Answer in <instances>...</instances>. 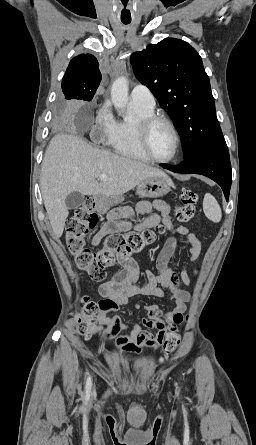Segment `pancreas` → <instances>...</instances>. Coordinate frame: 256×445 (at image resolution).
I'll return each instance as SVG.
<instances>
[{"label": "pancreas", "instance_id": "pancreas-1", "mask_svg": "<svg viewBox=\"0 0 256 445\" xmlns=\"http://www.w3.org/2000/svg\"><path fill=\"white\" fill-rule=\"evenodd\" d=\"M139 212L144 214V213H150L152 211V205L150 202L148 201H142L139 203Z\"/></svg>", "mask_w": 256, "mask_h": 445}]
</instances>
